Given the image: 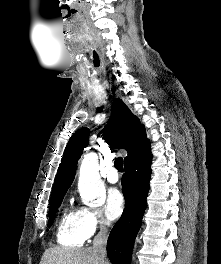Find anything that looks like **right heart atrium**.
<instances>
[{"mask_svg":"<svg viewBox=\"0 0 221 264\" xmlns=\"http://www.w3.org/2000/svg\"><path fill=\"white\" fill-rule=\"evenodd\" d=\"M83 232L87 238L97 232H103L109 226V222L104 218L101 210L83 206L78 209Z\"/></svg>","mask_w":221,"mask_h":264,"instance_id":"1","label":"right heart atrium"}]
</instances>
